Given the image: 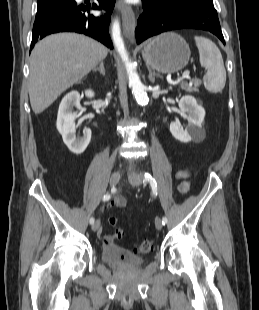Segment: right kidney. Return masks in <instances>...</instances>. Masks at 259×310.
Masks as SVG:
<instances>
[{
  "mask_svg": "<svg viewBox=\"0 0 259 310\" xmlns=\"http://www.w3.org/2000/svg\"><path fill=\"white\" fill-rule=\"evenodd\" d=\"M85 95L88 98L94 97L92 90H86ZM80 108V94L77 91L68 93L61 101L57 116V130L62 135L63 142L68 149L76 154H82L87 148L91 140L90 128L83 130V136L76 138L75 120L77 113L73 111V108Z\"/></svg>",
  "mask_w": 259,
  "mask_h": 310,
  "instance_id": "obj_1",
  "label": "right kidney"
}]
</instances>
